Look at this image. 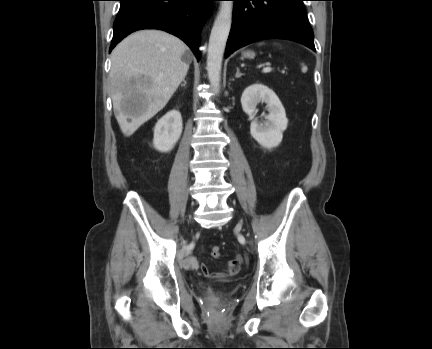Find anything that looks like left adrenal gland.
I'll return each instance as SVG.
<instances>
[{"instance_id": "a2214340", "label": "left adrenal gland", "mask_w": 432, "mask_h": 349, "mask_svg": "<svg viewBox=\"0 0 432 349\" xmlns=\"http://www.w3.org/2000/svg\"><path fill=\"white\" fill-rule=\"evenodd\" d=\"M236 69H237V72H236L235 77H236V78H239V77H241L243 74L240 73V69H239L238 67H237Z\"/></svg>"}]
</instances>
